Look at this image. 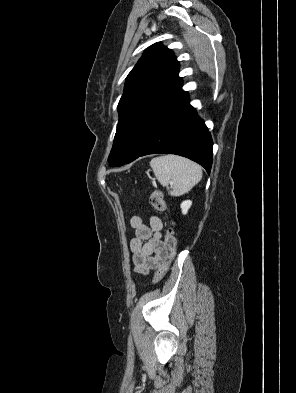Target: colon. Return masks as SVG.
I'll return each mask as SVG.
<instances>
[{"mask_svg":"<svg viewBox=\"0 0 296 393\" xmlns=\"http://www.w3.org/2000/svg\"><path fill=\"white\" fill-rule=\"evenodd\" d=\"M150 203H151L152 207L159 212H163L167 208L166 202L163 197V193L159 189H156L152 192V194L150 196ZM165 247H166V251H167V257L157 268L156 273H155V277L153 280L154 283H158L164 277V275L168 271L170 264L176 254V238L174 235V230L172 228H169L166 231Z\"/></svg>","mask_w":296,"mask_h":393,"instance_id":"obj_1","label":"colon"}]
</instances>
